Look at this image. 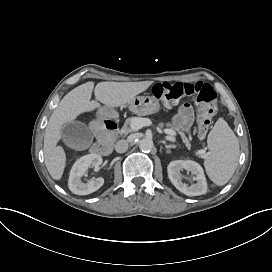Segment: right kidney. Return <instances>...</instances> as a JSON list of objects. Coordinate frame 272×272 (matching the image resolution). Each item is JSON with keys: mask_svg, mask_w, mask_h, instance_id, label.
Listing matches in <instances>:
<instances>
[{"mask_svg": "<svg viewBox=\"0 0 272 272\" xmlns=\"http://www.w3.org/2000/svg\"><path fill=\"white\" fill-rule=\"evenodd\" d=\"M102 164V157L97 154H88L79 158L72 166L68 187L70 191L77 195H88L97 191L103 184L104 179L102 177L92 178L87 183L81 181V177L86 174L89 167H93L94 171H99Z\"/></svg>", "mask_w": 272, "mask_h": 272, "instance_id": "obj_1", "label": "right kidney"}]
</instances>
